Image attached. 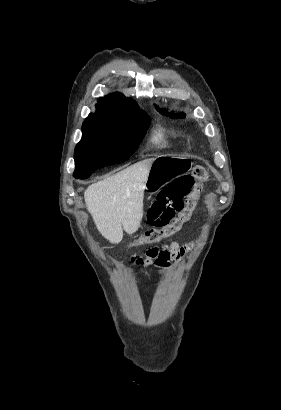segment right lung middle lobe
<instances>
[{
	"instance_id": "dd1d6c3e",
	"label": "right lung middle lobe",
	"mask_w": 281,
	"mask_h": 410,
	"mask_svg": "<svg viewBox=\"0 0 281 410\" xmlns=\"http://www.w3.org/2000/svg\"><path fill=\"white\" fill-rule=\"evenodd\" d=\"M150 124L148 116L132 121L88 117L74 153L75 178H86L106 165L127 160L137 149Z\"/></svg>"
}]
</instances>
